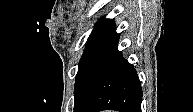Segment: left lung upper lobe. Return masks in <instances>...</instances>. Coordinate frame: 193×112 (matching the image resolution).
Instances as JSON below:
<instances>
[{"mask_svg": "<svg viewBox=\"0 0 193 112\" xmlns=\"http://www.w3.org/2000/svg\"><path fill=\"white\" fill-rule=\"evenodd\" d=\"M113 20L102 18L94 27L92 33L90 34L87 43L95 36L97 35L101 30H103L105 27H107ZM86 43V44H87Z\"/></svg>", "mask_w": 193, "mask_h": 112, "instance_id": "left-lung-upper-lobe-1", "label": "left lung upper lobe"}]
</instances>
